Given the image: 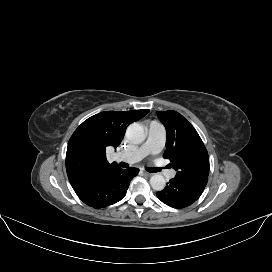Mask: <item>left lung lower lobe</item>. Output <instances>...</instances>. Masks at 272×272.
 <instances>
[{
	"instance_id": "1",
	"label": "left lung lower lobe",
	"mask_w": 272,
	"mask_h": 272,
	"mask_svg": "<svg viewBox=\"0 0 272 272\" xmlns=\"http://www.w3.org/2000/svg\"><path fill=\"white\" fill-rule=\"evenodd\" d=\"M208 177L173 178L157 197L173 208H184L194 203L204 191Z\"/></svg>"
}]
</instances>
